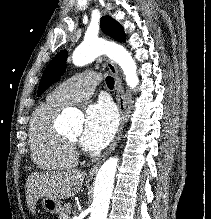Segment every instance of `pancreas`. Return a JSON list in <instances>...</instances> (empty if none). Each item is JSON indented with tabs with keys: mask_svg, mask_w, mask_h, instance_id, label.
Wrapping results in <instances>:
<instances>
[{
	"mask_svg": "<svg viewBox=\"0 0 211 219\" xmlns=\"http://www.w3.org/2000/svg\"><path fill=\"white\" fill-rule=\"evenodd\" d=\"M71 211V205L68 203V204H65L62 208H61V211L59 213V216H58V219H65V217H68L69 218V213Z\"/></svg>",
	"mask_w": 211,
	"mask_h": 219,
	"instance_id": "obj_1",
	"label": "pancreas"
}]
</instances>
